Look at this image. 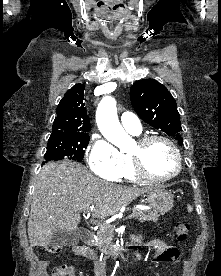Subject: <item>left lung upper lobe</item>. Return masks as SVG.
Returning a JSON list of instances; mask_svg holds the SVG:
<instances>
[{
  "label": "left lung upper lobe",
  "mask_w": 221,
  "mask_h": 276,
  "mask_svg": "<svg viewBox=\"0 0 221 276\" xmlns=\"http://www.w3.org/2000/svg\"><path fill=\"white\" fill-rule=\"evenodd\" d=\"M130 98L136 113L143 121L176 137L178 143L183 144L177 104L164 85L154 79L136 81L131 87Z\"/></svg>",
  "instance_id": "obj_1"
}]
</instances>
